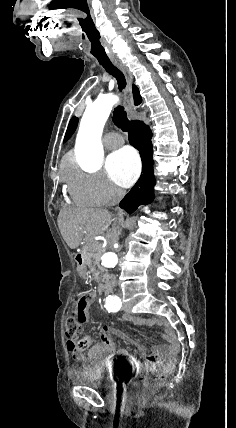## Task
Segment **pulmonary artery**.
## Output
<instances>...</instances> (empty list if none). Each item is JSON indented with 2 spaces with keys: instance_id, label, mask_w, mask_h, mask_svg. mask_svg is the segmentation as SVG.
Instances as JSON below:
<instances>
[{
  "instance_id": "obj_1",
  "label": "pulmonary artery",
  "mask_w": 236,
  "mask_h": 428,
  "mask_svg": "<svg viewBox=\"0 0 236 428\" xmlns=\"http://www.w3.org/2000/svg\"><path fill=\"white\" fill-rule=\"evenodd\" d=\"M117 135H118L117 133H111V134H109L107 137L109 138V137H111V136H117ZM123 143H124V139H123V138H120V140H119V142H118L117 144L106 142V143H105V146H106L108 149H115V148L119 147V145H120V144H123Z\"/></svg>"
}]
</instances>
